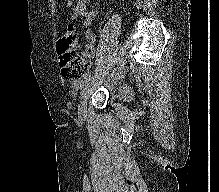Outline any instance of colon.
Listing matches in <instances>:
<instances>
[{
	"mask_svg": "<svg viewBox=\"0 0 219 192\" xmlns=\"http://www.w3.org/2000/svg\"><path fill=\"white\" fill-rule=\"evenodd\" d=\"M77 33L72 25H68L58 39L59 63L62 76L67 80H78L85 70V62L77 49Z\"/></svg>",
	"mask_w": 219,
	"mask_h": 192,
	"instance_id": "obj_1",
	"label": "colon"
}]
</instances>
